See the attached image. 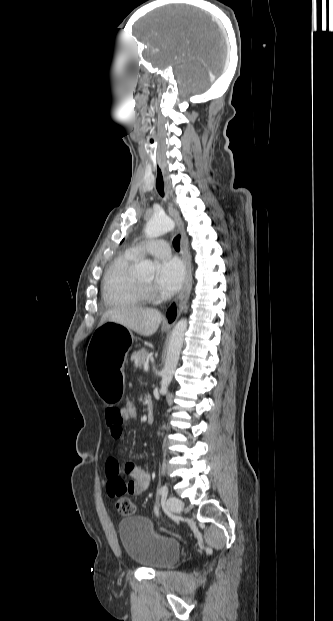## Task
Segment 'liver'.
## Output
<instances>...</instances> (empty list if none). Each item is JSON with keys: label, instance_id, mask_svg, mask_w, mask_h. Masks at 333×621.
I'll return each mask as SVG.
<instances>
[{"label": "liver", "instance_id": "obj_1", "mask_svg": "<svg viewBox=\"0 0 333 621\" xmlns=\"http://www.w3.org/2000/svg\"><path fill=\"white\" fill-rule=\"evenodd\" d=\"M162 321V314L155 309L127 306L107 310L99 323L114 322L133 330L141 336L153 335Z\"/></svg>", "mask_w": 333, "mask_h": 621}]
</instances>
